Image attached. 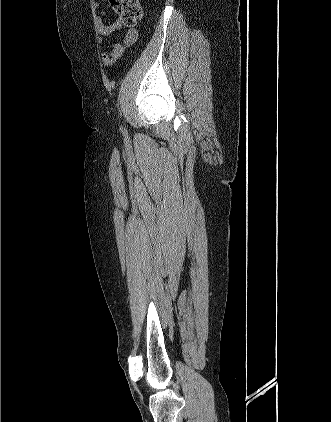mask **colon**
Here are the masks:
<instances>
[{
    "label": "colon",
    "mask_w": 331,
    "mask_h": 422,
    "mask_svg": "<svg viewBox=\"0 0 331 422\" xmlns=\"http://www.w3.org/2000/svg\"><path fill=\"white\" fill-rule=\"evenodd\" d=\"M111 8L127 26H134L143 16L140 0H108Z\"/></svg>",
    "instance_id": "5ec220e1"
}]
</instances>
